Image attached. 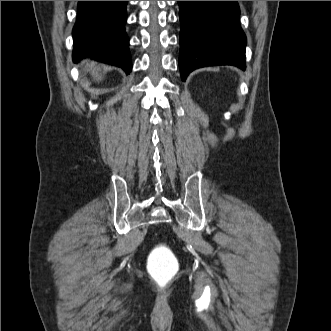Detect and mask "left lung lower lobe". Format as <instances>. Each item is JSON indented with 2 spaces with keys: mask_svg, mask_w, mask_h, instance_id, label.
Returning a JSON list of instances; mask_svg holds the SVG:
<instances>
[{
  "mask_svg": "<svg viewBox=\"0 0 331 331\" xmlns=\"http://www.w3.org/2000/svg\"><path fill=\"white\" fill-rule=\"evenodd\" d=\"M180 16L179 67L183 81L193 70L214 65L246 69V36L237 1H177Z\"/></svg>",
  "mask_w": 331,
  "mask_h": 331,
  "instance_id": "0a47b994",
  "label": "left lung lower lobe"
}]
</instances>
